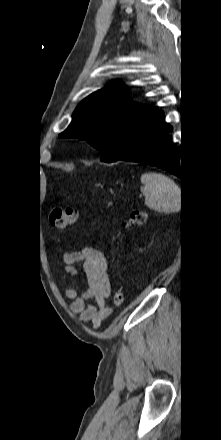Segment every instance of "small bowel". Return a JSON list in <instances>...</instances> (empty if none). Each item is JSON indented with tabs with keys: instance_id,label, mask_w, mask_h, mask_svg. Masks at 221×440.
Returning <instances> with one entry per match:
<instances>
[{
	"instance_id": "1",
	"label": "small bowel",
	"mask_w": 221,
	"mask_h": 440,
	"mask_svg": "<svg viewBox=\"0 0 221 440\" xmlns=\"http://www.w3.org/2000/svg\"><path fill=\"white\" fill-rule=\"evenodd\" d=\"M63 269L72 276H78L80 271L74 266L79 262L86 279V289L82 292L75 288L65 291V296L71 300L70 310L78 313L81 319L98 327L111 313L106 299L111 293V282L108 274L109 260L100 250L85 247L80 252L65 253Z\"/></svg>"
}]
</instances>
